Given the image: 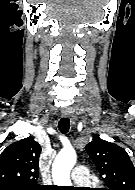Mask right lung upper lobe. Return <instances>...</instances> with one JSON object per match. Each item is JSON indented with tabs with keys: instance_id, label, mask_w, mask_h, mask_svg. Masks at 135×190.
<instances>
[{
	"instance_id": "1",
	"label": "right lung upper lobe",
	"mask_w": 135,
	"mask_h": 190,
	"mask_svg": "<svg viewBox=\"0 0 135 190\" xmlns=\"http://www.w3.org/2000/svg\"><path fill=\"white\" fill-rule=\"evenodd\" d=\"M40 145L31 137L10 144L0 155V188L36 190Z\"/></svg>"
}]
</instances>
